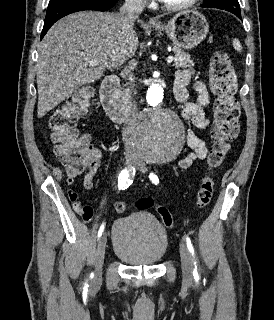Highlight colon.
<instances>
[{
  "label": "colon",
  "instance_id": "1",
  "mask_svg": "<svg viewBox=\"0 0 274 320\" xmlns=\"http://www.w3.org/2000/svg\"><path fill=\"white\" fill-rule=\"evenodd\" d=\"M209 77L216 101L208 170L200 182L196 197L199 207H205L210 203L213 194V173L222 163L230 143L239 132L240 107L235 97L237 74L227 53L216 52L213 54ZM83 99V94L69 96L52 112L48 123L55 155L68 171L67 181L69 184L73 182L74 176L82 172L94 157L90 136L80 133L76 128V122L84 106ZM68 196H78V193L70 189ZM152 202L154 203L150 198H141L136 201L135 207L139 211L148 210L156 206L152 205ZM156 207V213L166 227L171 228L173 217L170 211L163 206ZM114 209L118 214H122L126 211L127 206L123 202H116Z\"/></svg>",
  "mask_w": 274,
  "mask_h": 320
}]
</instances>
